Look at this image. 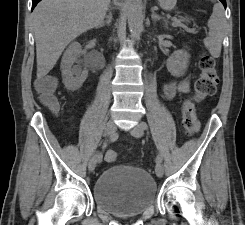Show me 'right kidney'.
<instances>
[{"label":"right kidney","mask_w":245,"mask_h":225,"mask_svg":"<svg viewBox=\"0 0 245 225\" xmlns=\"http://www.w3.org/2000/svg\"><path fill=\"white\" fill-rule=\"evenodd\" d=\"M82 48L80 43L73 42L69 45L63 54L61 61V72L65 88L70 91L78 90L86 80L88 71L82 70L81 66L74 65L78 63Z\"/></svg>","instance_id":"right-kidney-1"}]
</instances>
